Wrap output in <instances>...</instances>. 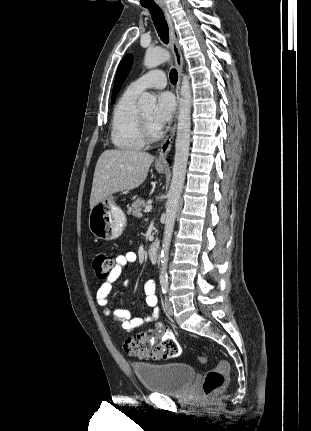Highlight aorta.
I'll list each match as a JSON object with an SVG mask.
<instances>
[{
    "label": "aorta",
    "mask_w": 311,
    "mask_h": 431,
    "mask_svg": "<svg viewBox=\"0 0 311 431\" xmlns=\"http://www.w3.org/2000/svg\"><path fill=\"white\" fill-rule=\"evenodd\" d=\"M171 56L167 50L147 48L144 56L146 68H157L164 62H169ZM157 98L155 94H141L138 102L139 108H155ZM191 88L187 76H183L181 82V100L178 112L177 136L175 144V158L172 168V180L166 202V219L163 235L162 249L160 253V281H167L166 269L168 265V253L171 237L178 210L179 200L183 192L185 174L189 156L190 132H191Z\"/></svg>",
    "instance_id": "obj_1"
}]
</instances>
